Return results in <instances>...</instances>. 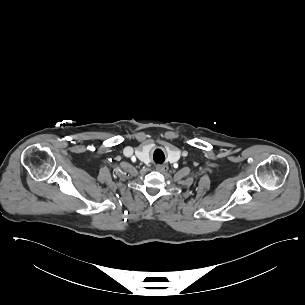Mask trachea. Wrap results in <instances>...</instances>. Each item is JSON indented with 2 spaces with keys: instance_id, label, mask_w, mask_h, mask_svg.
<instances>
[{
  "instance_id": "3493384b",
  "label": "trachea",
  "mask_w": 305,
  "mask_h": 305,
  "mask_svg": "<svg viewBox=\"0 0 305 305\" xmlns=\"http://www.w3.org/2000/svg\"><path fill=\"white\" fill-rule=\"evenodd\" d=\"M153 160L156 165H162L165 161L164 153L160 149H157L153 154Z\"/></svg>"
}]
</instances>
